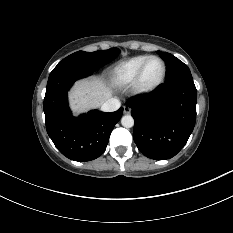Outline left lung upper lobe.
<instances>
[{
	"label": "left lung upper lobe",
	"instance_id": "1",
	"mask_svg": "<svg viewBox=\"0 0 233 233\" xmlns=\"http://www.w3.org/2000/svg\"><path fill=\"white\" fill-rule=\"evenodd\" d=\"M158 53L166 61L167 65V77L165 83H170L179 79H192V75L186 64L170 53H162L160 51Z\"/></svg>",
	"mask_w": 233,
	"mask_h": 233
}]
</instances>
